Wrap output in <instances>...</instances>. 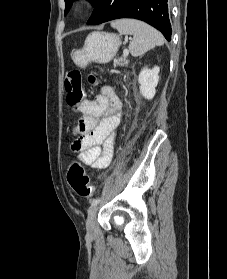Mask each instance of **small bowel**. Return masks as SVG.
I'll return each mask as SVG.
<instances>
[{"mask_svg": "<svg viewBox=\"0 0 227 279\" xmlns=\"http://www.w3.org/2000/svg\"><path fill=\"white\" fill-rule=\"evenodd\" d=\"M79 110L74 141L80 154L78 159L93 167H107L112 158L113 141L122 116V101L115 90L106 86L93 100L86 99Z\"/></svg>", "mask_w": 227, "mask_h": 279, "instance_id": "small-bowel-1", "label": "small bowel"}]
</instances>
